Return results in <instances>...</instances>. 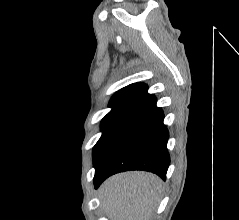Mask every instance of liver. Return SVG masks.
Segmentation results:
<instances>
[{"mask_svg": "<svg viewBox=\"0 0 239 220\" xmlns=\"http://www.w3.org/2000/svg\"><path fill=\"white\" fill-rule=\"evenodd\" d=\"M162 181L145 172H126L108 178L100 198L110 220H150L162 191Z\"/></svg>", "mask_w": 239, "mask_h": 220, "instance_id": "obj_1", "label": "liver"}]
</instances>
